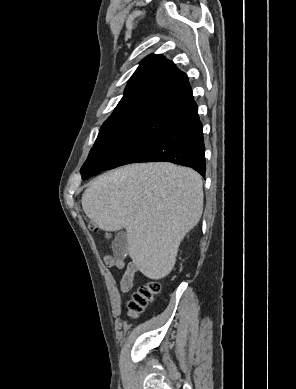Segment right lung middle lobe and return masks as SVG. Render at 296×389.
<instances>
[{"mask_svg": "<svg viewBox=\"0 0 296 389\" xmlns=\"http://www.w3.org/2000/svg\"><path fill=\"white\" fill-rule=\"evenodd\" d=\"M176 121L158 114L107 119L82 168L100 172L141 162L155 142Z\"/></svg>", "mask_w": 296, "mask_h": 389, "instance_id": "dd1d6c3e", "label": "right lung middle lobe"}]
</instances>
